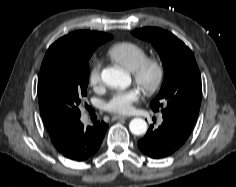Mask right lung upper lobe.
I'll return each mask as SVG.
<instances>
[{"instance_id": "1", "label": "right lung upper lobe", "mask_w": 236, "mask_h": 187, "mask_svg": "<svg viewBox=\"0 0 236 187\" xmlns=\"http://www.w3.org/2000/svg\"><path fill=\"white\" fill-rule=\"evenodd\" d=\"M106 38H113L109 34L95 32V31H75L58 39L54 44H63L72 47H81L87 45L90 42L102 40ZM53 44V45H54ZM43 121L48 129L51 137V141L54 146L58 149L63 144L66 135L73 126L74 123H63L59 121L50 120L43 118Z\"/></svg>"}]
</instances>
